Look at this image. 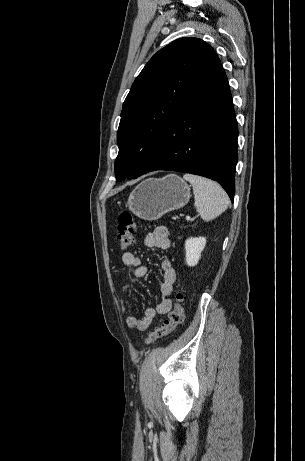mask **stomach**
<instances>
[{
  "label": "stomach",
  "instance_id": "1",
  "mask_svg": "<svg viewBox=\"0 0 305 461\" xmlns=\"http://www.w3.org/2000/svg\"><path fill=\"white\" fill-rule=\"evenodd\" d=\"M190 197V186L179 176L169 174L142 181L131 192L127 205L139 218L153 221L182 208Z\"/></svg>",
  "mask_w": 305,
  "mask_h": 461
}]
</instances>
